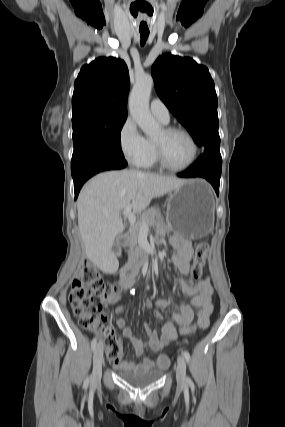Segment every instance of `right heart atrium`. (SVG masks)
<instances>
[{
	"label": "right heart atrium",
	"mask_w": 285,
	"mask_h": 427,
	"mask_svg": "<svg viewBox=\"0 0 285 427\" xmlns=\"http://www.w3.org/2000/svg\"><path fill=\"white\" fill-rule=\"evenodd\" d=\"M118 140L125 160L138 166L148 153L149 143L133 118H126L119 130Z\"/></svg>",
	"instance_id": "1"
}]
</instances>
